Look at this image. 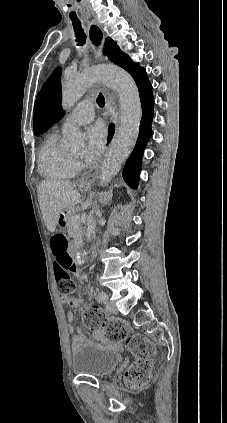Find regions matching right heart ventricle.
Wrapping results in <instances>:
<instances>
[{"label":"right heart ventricle","mask_w":227,"mask_h":423,"mask_svg":"<svg viewBox=\"0 0 227 423\" xmlns=\"http://www.w3.org/2000/svg\"><path fill=\"white\" fill-rule=\"evenodd\" d=\"M73 158V155L60 145L57 131H52L39 148L38 172L48 179H68L73 175Z\"/></svg>","instance_id":"obj_1"}]
</instances>
